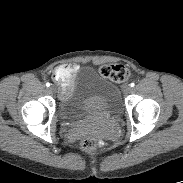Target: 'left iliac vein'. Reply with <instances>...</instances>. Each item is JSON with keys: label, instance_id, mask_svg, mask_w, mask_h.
Here are the masks:
<instances>
[{"label": "left iliac vein", "instance_id": "obj_1", "mask_svg": "<svg viewBox=\"0 0 183 183\" xmlns=\"http://www.w3.org/2000/svg\"><path fill=\"white\" fill-rule=\"evenodd\" d=\"M123 92H124L125 94L130 93V92H131V87H130L129 85H125V86L123 87Z\"/></svg>", "mask_w": 183, "mask_h": 183}]
</instances>
